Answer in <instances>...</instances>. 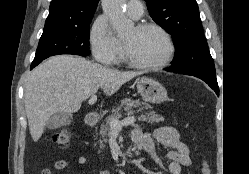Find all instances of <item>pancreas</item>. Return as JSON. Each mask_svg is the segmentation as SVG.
<instances>
[{
  "instance_id": "pancreas-1",
  "label": "pancreas",
  "mask_w": 249,
  "mask_h": 174,
  "mask_svg": "<svg viewBox=\"0 0 249 174\" xmlns=\"http://www.w3.org/2000/svg\"><path fill=\"white\" fill-rule=\"evenodd\" d=\"M124 109L129 115H133L135 113L134 109H137V112H142L144 110H149L144 115L141 116L143 121H150L152 123H158L164 121V118L157 114L155 111H152L151 105L140 102L139 100L132 99H123L118 107L112 110V115L108 116L103 124L100 126V134L102 136V141H100V148L103 149V142H107V137L110 132V121L112 119H117L121 115V111Z\"/></svg>"
}]
</instances>
